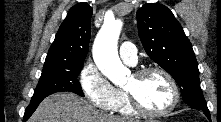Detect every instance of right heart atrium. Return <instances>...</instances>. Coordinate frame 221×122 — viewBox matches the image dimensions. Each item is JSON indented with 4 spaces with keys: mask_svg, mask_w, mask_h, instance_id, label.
<instances>
[{
    "mask_svg": "<svg viewBox=\"0 0 221 122\" xmlns=\"http://www.w3.org/2000/svg\"><path fill=\"white\" fill-rule=\"evenodd\" d=\"M79 83L84 95L93 105L105 110L111 109L115 88L92 60L83 65L79 73Z\"/></svg>",
    "mask_w": 221,
    "mask_h": 122,
    "instance_id": "obj_1",
    "label": "right heart atrium"
}]
</instances>
